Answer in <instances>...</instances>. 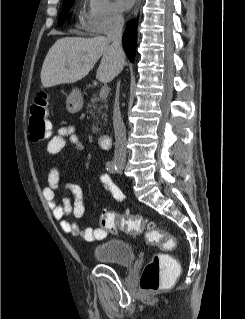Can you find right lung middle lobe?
<instances>
[{
    "mask_svg": "<svg viewBox=\"0 0 245 319\" xmlns=\"http://www.w3.org/2000/svg\"><path fill=\"white\" fill-rule=\"evenodd\" d=\"M74 0H64L63 10L61 12L60 18L58 20V25H62L64 23V17L67 15L70 10Z\"/></svg>",
    "mask_w": 245,
    "mask_h": 319,
    "instance_id": "1",
    "label": "right lung middle lobe"
}]
</instances>
